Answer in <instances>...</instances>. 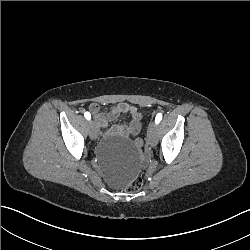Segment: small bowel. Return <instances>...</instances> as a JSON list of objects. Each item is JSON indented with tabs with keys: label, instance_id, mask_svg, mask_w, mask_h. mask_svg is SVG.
I'll use <instances>...</instances> for the list:
<instances>
[{
	"label": "small bowel",
	"instance_id": "c3829d8e",
	"mask_svg": "<svg viewBox=\"0 0 250 250\" xmlns=\"http://www.w3.org/2000/svg\"><path fill=\"white\" fill-rule=\"evenodd\" d=\"M93 114L96 124L99 128H104L109 122L117 119L119 115L128 113L131 116V121L127 125H114L110 129L111 135L121 136L124 138L136 136L141 130V123L135 119V113L138 111L135 106L127 103H120L108 112H101L97 104H92L89 108Z\"/></svg>",
	"mask_w": 250,
	"mask_h": 250
}]
</instances>
